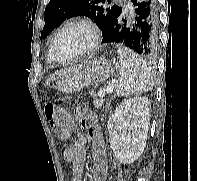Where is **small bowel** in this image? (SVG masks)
I'll return each instance as SVG.
<instances>
[{"mask_svg": "<svg viewBox=\"0 0 197 181\" xmlns=\"http://www.w3.org/2000/svg\"><path fill=\"white\" fill-rule=\"evenodd\" d=\"M74 114L77 123L85 134L79 135L73 144L64 150V159L71 164L70 181H84L83 169L88 145L92 154L91 181H105L107 176V150L98 121L84 104L76 106Z\"/></svg>", "mask_w": 197, "mask_h": 181, "instance_id": "1", "label": "small bowel"}]
</instances>
